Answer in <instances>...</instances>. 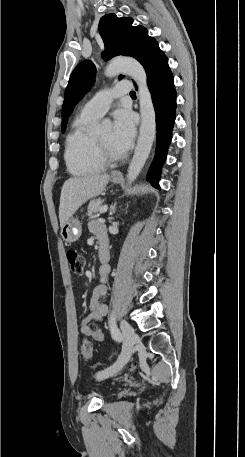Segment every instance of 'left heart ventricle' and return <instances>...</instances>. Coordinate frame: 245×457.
Wrapping results in <instances>:
<instances>
[{
    "instance_id": "left-heart-ventricle-1",
    "label": "left heart ventricle",
    "mask_w": 245,
    "mask_h": 457,
    "mask_svg": "<svg viewBox=\"0 0 245 457\" xmlns=\"http://www.w3.org/2000/svg\"><path fill=\"white\" fill-rule=\"evenodd\" d=\"M97 139V142L104 153L109 154H122L123 150L117 147L112 142L111 129L101 131L99 133H94Z\"/></svg>"
}]
</instances>
